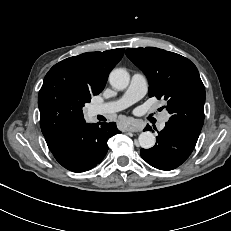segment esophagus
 <instances>
[{
    "mask_svg": "<svg viewBox=\"0 0 231 231\" xmlns=\"http://www.w3.org/2000/svg\"><path fill=\"white\" fill-rule=\"evenodd\" d=\"M142 129L137 126H128L126 131L128 132H140Z\"/></svg>",
    "mask_w": 231,
    "mask_h": 231,
    "instance_id": "1",
    "label": "esophagus"
}]
</instances>
